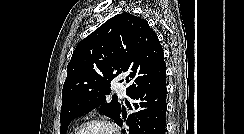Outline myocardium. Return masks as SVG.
Masks as SVG:
<instances>
[{
	"label": "myocardium",
	"instance_id": "myocardium-1",
	"mask_svg": "<svg viewBox=\"0 0 244 134\" xmlns=\"http://www.w3.org/2000/svg\"><path fill=\"white\" fill-rule=\"evenodd\" d=\"M89 126H101L107 129L111 134H118L116 128L108 121L102 119H91L80 124L72 134H79L83 129Z\"/></svg>",
	"mask_w": 244,
	"mask_h": 134
}]
</instances>
